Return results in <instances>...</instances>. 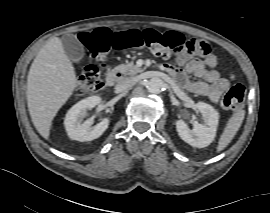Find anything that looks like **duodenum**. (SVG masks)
<instances>
[{"instance_id":"410a0bca","label":"duodenum","mask_w":270,"mask_h":213,"mask_svg":"<svg viewBox=\"0 0 270 213\" xmlns=\"http://www.w3.org/2000/svg\"><path fill=\"white\" fill-rule=\"evenodd\" d=\"M123 77L119 71H110L105 78V85L112 86L116 84Z\"/></svg>"}]
</instances>
